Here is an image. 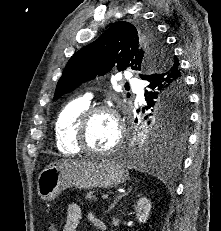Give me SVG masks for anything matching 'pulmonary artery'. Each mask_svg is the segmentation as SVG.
Returning a JSON list of instances; mask_svg holds the SVG:
<instances>
[{
    "mask_svg": "<svg viewBox=\"0 0 221 231\" xmlns=\"http://www.w3.org/2000/svg\"><path fill=\"white\" fill-rule=\"evenodd\" d=\"M126 80H127V82H128V84L130 85V86H132L133 88H135V87H137V85H138V83H139V81H138V79H136V78H134V77H127L126 78ZM85 101H87V102H89L91 99H92V94H86L85 96H84V98H83Z\"/></svg>",
    "mask_w": 221,
    "mask_h": 231,
    "instance_id": "obj_1",
    "label": "pulmonary artery"
}]
</instances>
